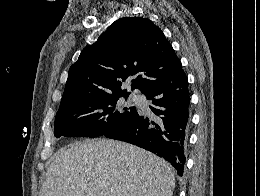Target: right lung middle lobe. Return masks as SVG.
Listing matches in <instances>:
<instances>
[{
  "label": "right lung middle lobe",
  "instance_id": "obj_1",
  "mask_svg": "<svg viewBox=\"0 0 260 196\" xmlns=\"http://www.w3.org/2000/svg\"><path fill=\"white\" fill-rule=\"evenodd\" d=\"M128 95L96 94L58 110L55 137H99L136 120L140 115L135 107L124 106L120 99Z\"/></svg>",
  "mask_w": 260,
  "mask_h": 196
}]
</instances>
